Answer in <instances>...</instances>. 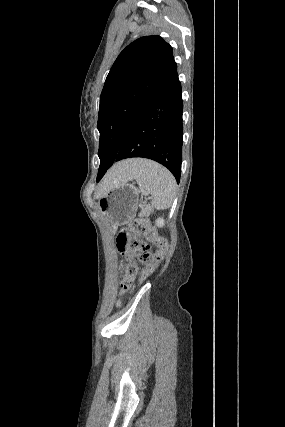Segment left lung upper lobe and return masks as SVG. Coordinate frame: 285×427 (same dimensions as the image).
<instances>
[{"label": "left lung upper lobe", "mask_w": 285, "mask_h": 427, "mask_svg": "<svg viewBox=\"0 0 285 427\" xmlns=\"http://www.w3.org/2000/svg\"><path fill=\"white\" fill-rule=\"evenodd\" d=\"M175 66L172 47L160 36L141 37L119 54L100 96L97 182L114 163L131 121Z\"/></svg>", "instance_id": "left-lung-upper-lobe-1"}]
</instances>
